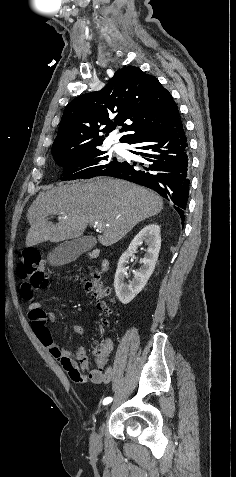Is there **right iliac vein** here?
<instances>
[{
    "mask_svg": "<svg viewBox=\"0 0 236 477\" xmlns=\"http://www.w3.org/2000/svg\"><path fill=\"white\" fill-rule=\"evenodd\" d=\"M103 412H104V416L105 417H110L111 414H109L111 412V409L109 407H105L103 409ZM90 444H91V448L94 450V451H100L102 449V438H101V435L96 433V432H93L92 435H91V438H90Z\"/></svg>",
    "mask_w": 236,
    "mask_h": 477,
    "instance_id": "obj_1",
    "label": "right iliac vein"
}]
</instances>
